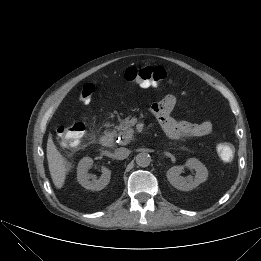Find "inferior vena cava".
I'll return each mask as SVG.
<instances>
[{
  "instance_id": "602c4592",
  "label": "inferior vena cava",
  "mask_w": 261,
  "mask_h": 261,
  "mask_svg": "<svg viewBox=\"0 0 261 261\" xmlns=\"http://www.w3.org/2000/svg\"><path fill=\"white\" fill-rule=\"evenodd\" d=\"M130 154V150H128L127 148H118L115 150L114 152V158L118 159V160H123L125 158H127Z\"/></svg>"
}]
</instances>
